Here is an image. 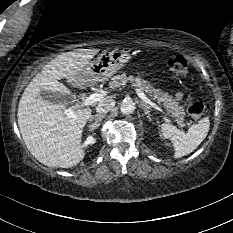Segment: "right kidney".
Instances as JSON below:
<instances>
[{
  "mask_svg": "<svg viewBox=\"0 0 233 233\" xmlns=\"http://www.w3.org/2000/svg\"><path fill=\"white\" fill-rule=\"evenodd\" d=\"M95 141H96V139L94 138V136H93V135H90V136L87 137V139H86V141H85L83 147H84V146H88V145H90V144H94Z\"/></svg>",
  "mask_w": 233,
  "mask_h": 233,
  "instance_id": "obj_1",
  "label": "right kidney"
}]
</instances>
